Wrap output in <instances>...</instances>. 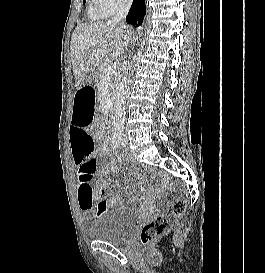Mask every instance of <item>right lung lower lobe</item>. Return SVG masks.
Here are the masks:
<instances>
[{
	"instance_id": "obj_1",
	"label": "right lung lower lobe",
	"mask_w": 265,
	"mask_h": 273,
	"mask_svg": "<svg viewBox=\"0 0 265 273\" xmlns=\"http://www.w3.org/2000/svg\"><path fill=\"white\" fill-rule=\"evenodd\" d=\"M146 14L145 0H133V4L126 17V22L133 26L140 25Z\"/></svg>"
}]
</instances>
